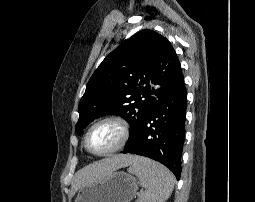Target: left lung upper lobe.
<instances>
[{"label":"left lung upper lobe","mask_w":255,"mask_h":202,"mask_svg":"<svg viewBox=\"0 0 255 202\" xmlns=\"http://www.w3.org/2000/svg\"><path fill=\"white\" fill-rule=\"evenodd\" d=\"M181 65L170 42L141 30L112 51L90 78L80 100V132L94 119L121 115L131 126L128 142L157 101L183 82Z\"/></svg>","instance_id":"5c2ea615"}]
</instances>
